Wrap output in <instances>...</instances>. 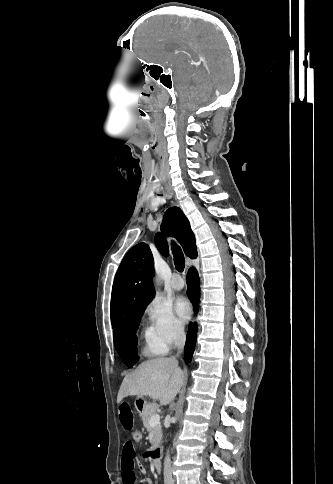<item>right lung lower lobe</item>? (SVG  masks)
<instances>
[{
	"label": "right lung lower lobe",
	"instance_id": "right-lung-lower-lobe-1",
	"mask_svg": "<svg viewBox=\"0 0 333 484\" xmlns=\"http://www.w3.org/2000/svg\"><path fill=\"white\" fill-rule=\"evenodd\" d=\"M187 285H188V296L192 302H198L200 283L197 270L195 268H190L187 274ZM197 335V325L190 323L185 344V358L188 362L191 361L196 342Z\"/></svg>",
	"mask_w": 333,
	"mask_h": 484
}]
</instances>
